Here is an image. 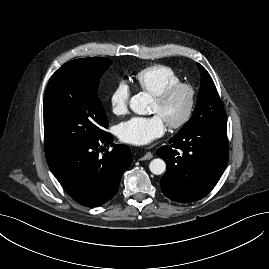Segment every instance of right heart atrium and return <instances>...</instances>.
I'll return each instance as SVG.
<instances>
[{"label": "right heart atrium", "instance_id": "obj_1", "mask_svg": "<svg viewBox=\"0 0 269 269\" xmlns=\"http://www.w3.org/2000/svg\"><path fill=\"white\" fill-rule=\"evenodd\" d=\"M131 89L125 81H119L109 95V106L115 115H122L128 109Z\"/></svg>", "mask_w": 269, "mask_h": 269}]
</instances>
